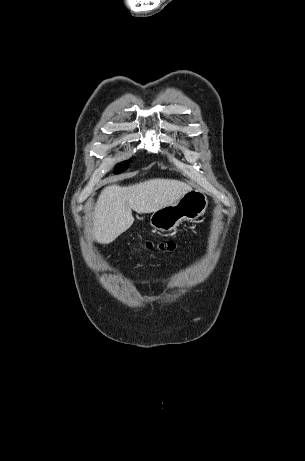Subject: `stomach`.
Instances as JSON below:
<instances>
[{"mask_svg":"<svg viewBox=\"0 0 305 461\" xmlns=\"http://www.w3.org/2000/svg\"><path fill=\"white\" fill-rule=\"evenodd\" d=\"M208 207L207 196L197 190H191L175 204L152 213L150 225L162 232L172 231L183 221H192L202 216Z\"/></svg>","mask_w":305,"mask_h":461,"instance_id":"stomach-1","label":"stomach"}]
</instances>
